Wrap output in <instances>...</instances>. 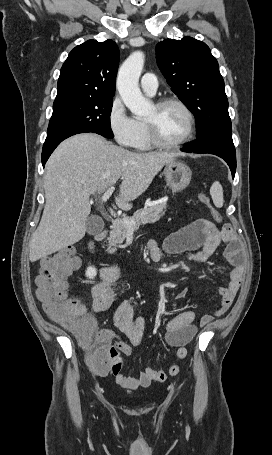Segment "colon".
I'll use <instances>...</instances> for the list:
<instances>
[{
  "instance_id": "obj_1",
  "label": "colon",
  "mask_w": 272,
  "mask_h": 455,
  "mask_svg": "<svg viewBox=\"0 0 272 455\" xmlns=\"http://www.w3.org/2000/svg\"><path fill=\"white\" fill-rule=\"evenodd\" d=\"M199 199L209 208L213 218L220 222L221 216L211 205L210 199L204 194ZM78 265L73 247L63 248L46 258L36 277L37 297L42 302L45 313L80 340L91 367L98 371H118L121 369L119 350L110 347L95 335L94 320L85 314V308L80 302L67 294L68 278ZM187 353L182 352L183 355Z\"/></svg>"
}]
</instances>
